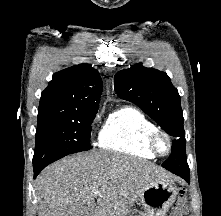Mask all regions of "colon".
Returning <instances> with one entry per match:
<instances>
[{
    "label": "colon",
    "instance_id": "1",
    "mask_svg": "<svg viewBox=\"0 0 221 216\" xmlns=\"http://www.w3.org/2000/svg\"><path fill=\"white\" fill-rule=\"evenodd\" d=\"M186 203L185 192L181 190L169 216H183L186 211Z\"/></svg>",
    "mask_w": 221,
    "mask_h": 216
}]
</instances>
